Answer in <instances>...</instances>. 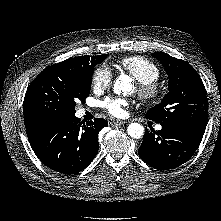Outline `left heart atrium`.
Wrapping results in <instances>:
<instances>
[{
	"mask_svg": "<svg viewBox=\"0 0 221 221\" xmlns=\"http://www.w3.org/2000/svg\"><path fill=\"white\" fill-rule=\"evenodd\" d=\"M101 107L114 117H124L128 102L122 98L108 97L101 102Z\"/></svg>",
	"mask_w": 221,
	"mask_h": 221,
	"instance_id": "obj_1",
	"label": "left heart atrium"
}]
</instances>
